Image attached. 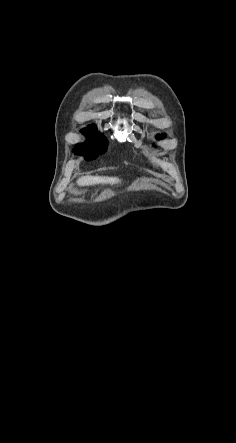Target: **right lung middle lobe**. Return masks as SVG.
Wrapping results in <instances>:
<instances>
[{"mask_svg":"<svg viewBox=\"0 0 236 443\" xmlns=\"http://www.w3.org/2000/svg\"><path fill=\"white\" fill-rule=\"evenodd\" d=\"M82 132L88 137V140L84 144L77 146V149L91 148L102 152L107 149L106 139L102 135L95 133L93 125L83 129Z\"/></svg>","mask_w":236,"mask_h":443,"instance_id":"right-lung-middle-lobe-1","label":"right lung middle lobe"}]
</instances>
